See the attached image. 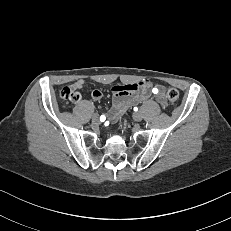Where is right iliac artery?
<instances>
[{"mask_svg":"<svg viewBox=\"0 0 231 231\" xmlns=\"http://www.w3.org/2000/svg\"><path fill=\"white\" fill-rule=\"evenodd\" d=\"M106 119V117L104 116V115H102L101 117H100V120L101 121H104Z\"/></svg>","mask_w":231,"mask_h":231,"instance_id":"1","label":"right iliac artery"}]
</instances>
